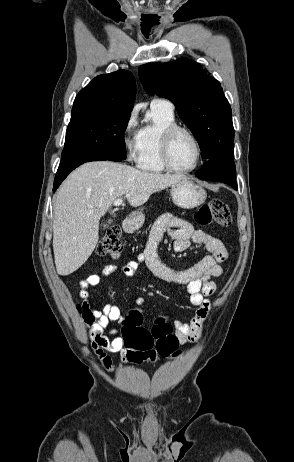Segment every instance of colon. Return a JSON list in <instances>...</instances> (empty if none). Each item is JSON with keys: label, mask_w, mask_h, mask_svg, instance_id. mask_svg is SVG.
Masks as SVG:
<instances>
[{"label": "colon", "mask_w": 294, "mask_h": 462, "mask_svg": "<svg viewBox=\"0 0 294 462\" xmlns=\"http://www.w3.org/2000/svg\"><path fill=\"white\" fill-rule=\"evenodd\" d=\"M195 220L202 226L217 224L228 227L232 223V215L225 202L213 199L199 208ZM122 250L120 228L116 225L110 226L97 245V254L101 257L117 258ZM121 332L125 345L145 353L149 361H153L157 356L169 357L179 353V341L173 327L163 318H157L149 331L143 327L142 315L133 312L124 318Z\"/></svg>", "instance_id": "obj_1"}]
</instances>
